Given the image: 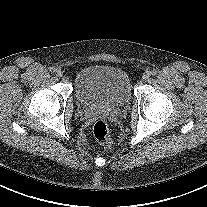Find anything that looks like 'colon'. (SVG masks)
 Listing matches in <instances>:
<instances>
[{
    "instance_id": "1",
    "label": "colon",
    "mask_w": 207,
    "mask_h": 207,
    "mask_svg": "<svg viewBox=\"0 0 207 207\" xmlns=\"http://www.w3.org/2000/svg\"><path fill=\"white\" fill-rule=\"evenodd\" d=\"M93 135L98 142H100L102 145L106 147H109L112 143L108 125L102 119L97 120L94 123Z\"/></svg>"
}]
</instances>
